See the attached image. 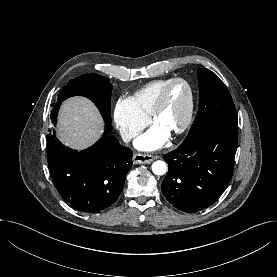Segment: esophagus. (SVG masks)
<instances>
[{"label":"esophagus","instance_id":"obj_1","mask_svg":"<svg viewBox=\"0 0 277 277\" xmlns=\"http://www.w3.org/2000/svg\"><path fill=\"white\" fill-rule=\"evenodd\" d=\"M154 160V156L150 154L135 153L133 155L134 164H149Z\"/></svg>","mask_w":277,"mask_h":277}]
</instances>
